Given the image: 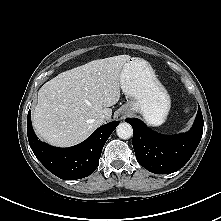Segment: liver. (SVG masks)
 I'll list each match as a JSON object with an SVG mask.
<instances>
[{"label": "liver", "instance_id": "obj_1", "mask_svg": "<svg viewBox=\"0 0 221 221\" xmlns=\"http://www.w3.org/2000/svg\"><path fill=\"white\" fill-rule=\"evenodd\" d=\"M129 55L98 59L67 70L46 82L38 91L32 112L36 133L53 146L69 147L88 138L108 121L111 106L120 98V77Z\"/></svg>", "mask_w": 221, "mask_h": 221}]
</instances>
